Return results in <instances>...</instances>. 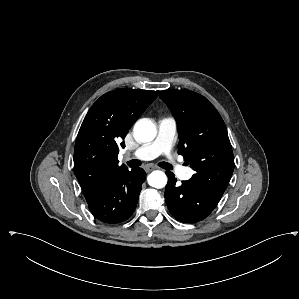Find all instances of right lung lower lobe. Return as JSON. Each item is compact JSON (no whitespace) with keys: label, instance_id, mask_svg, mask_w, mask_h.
<instances>
[{"label":"right lung lower lobe","instance_id":"obj_1","mask_svg":"<svg viewBox=\"0 0 299 299\" xmlns=\"http://www.w3.org/2000/svg\"><path fill=\"white\" fill-rule=\"evenodd\" d=\"M145 178L146 174L141 168L121 171L87 201L90 211L105 223L116 224L127 220L135 210Z\"/></svg>","mask_w":299,"mask_h":299}]
</instances>
